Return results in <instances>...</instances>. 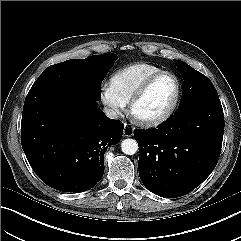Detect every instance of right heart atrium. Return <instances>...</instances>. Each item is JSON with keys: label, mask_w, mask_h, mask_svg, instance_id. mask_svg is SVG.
Segmentation results:
<instances>
[{"label": "right heart atrium", "mask_w": 241, "mask_h": 241, "mask_svg": "<svg viewBox=\"0 0 241 241\" xmlns=\"http://www.w3.org/2000/svg\"><path fill=\"white\" fill-rule=\"evenodd\" d=\"M100 99L108 112L117 116L123 113L127 103L119 96L110 83H105L100 89Z\"/></svg>", "instance_id": "d8ad5b80"}]
</instances>
